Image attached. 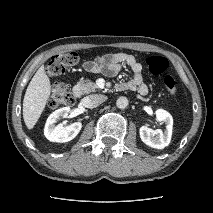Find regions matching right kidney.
<instances>
[{"mask_svg":"<svg viewBox=\"0 0 213 213\" xmlns=\"http://www.w3.org/2000/svg\"><path fill=\"white\" fill-rule=\"evenodd\" d=\"M69 112V107H63L50 114L44 128V135L49 141L64 143L71 141L78 135L82 128L81 122H75L66 127L62 124L55 125L60 117H67Z\"/></svg>","mask_w":213,"mask_h":213,"instance_id":"ca27d5eb","label":"right kidney"}]
</instances>
